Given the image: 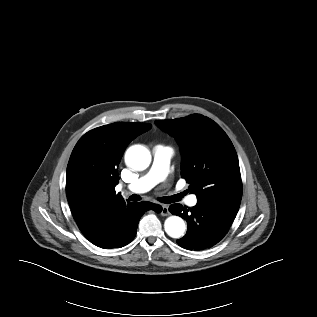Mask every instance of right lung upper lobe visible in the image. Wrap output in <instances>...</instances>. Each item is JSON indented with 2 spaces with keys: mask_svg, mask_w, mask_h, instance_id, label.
Wrapping results in <instances>:
<instances>
[{
  "mask_svg": "<svg viewBox=\"0 0 317 317\" xmlns=\"http://www.w3.org/2000/svg\"><path fill=\"white\" fill-rule=\"evenodd\" d=\"M151 128L149 124L116 122L83 135L74 147L67 166L66 194L70 207L86 199L103 206L125 203L118 184V165L127 145Z\"/></svg>",
  "mask_w": 317,
  "mask_h": 317,
  "instance_id": "obj_1",
  "label": "right lung upper lobe"
}]
</instances>
